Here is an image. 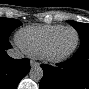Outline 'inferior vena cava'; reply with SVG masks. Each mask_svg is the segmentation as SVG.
Wrapping results in <instances>:
<instances>
[{"label":"inferior vena cava","mask_w":89,"mask_h":89,"mask_svg":"<svg viewBox=\"0 0 89 89\" xmlns=\"http://www.w3.org/2000/svg\"><path fill=\"white\" fill-rule=\"evenodd\" d=\"M7 53L11 58H14V59H22L24 57L23 53L20 50L15 48H11L7 50Z\"/></svg>","instance_id":"602c4592"}]
</instances>
